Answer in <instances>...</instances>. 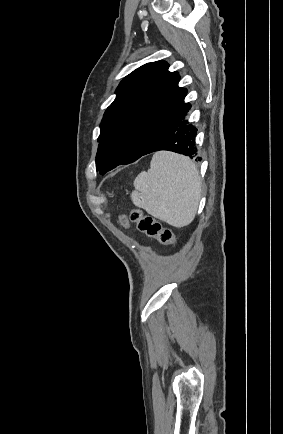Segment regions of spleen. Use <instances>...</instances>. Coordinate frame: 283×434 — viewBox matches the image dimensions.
Returning <instances> with one entry per match:
<instances>
[{
    "mask_svg": "<svg viewBox=\"0 0 283 434\" xmlns=\"http://www.w3.org/2000/svg\"><path fill=\"white\" fill-rule=\"evenodd\" d=\"M133 203L174 227L189 225L201 196V179L195 163L170 152L153 155L150 169L134 180Z\"/></svg>",
    "mask_w": 283,
    "mask_h": 434,
    "instance_id": "spleen-1",
    "label": "spleen"
}]
</instances>
